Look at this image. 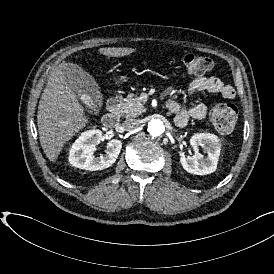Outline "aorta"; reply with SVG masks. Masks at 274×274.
<instances>
[{"label":"aorta","instance_id":"1","mask_svg":"<svg viewBox=\"0 0 274 274\" xmlns=\"http://www.w3.org/2000/svg\"><path fill=\"white\" fill-rule=\"evenodd\" d=\"M165 131L164 123L161 119L153 118L148 123V132L153 137H158Z\"/></svg>","mask_w":274,"mask_h":274}]
</instances>
